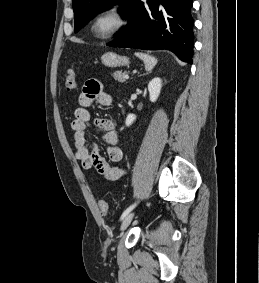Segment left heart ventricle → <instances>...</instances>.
I'll return each instance as SVG.
<instances>
[{
	"instance_id": "left-heart-ventricle-1",
	"label": "left heart ventricle",
	"mask_w": 259,
	"mask_h": 283,
	"mask_svg": "<svg viewBox=\"0 0 259 283\" xmlns=\"http://www.w3.org/2000/svg\"><path fill=\"white\" fill-rule=\"evenodd\" d=\"M114 24H115V20L112 17L110 16L104 17L97 22L95 26V31L98 34L107 33L114 26Z\"/></svg>"
}]
</instances>
